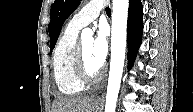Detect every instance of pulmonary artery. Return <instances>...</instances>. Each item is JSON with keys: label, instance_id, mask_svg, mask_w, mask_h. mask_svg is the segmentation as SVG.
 Wrapping results in <instances>:
<instances>
[{"label": "pulmonary artery", "instance_id": "pulmonary-artery-1", "mask_svg": "<svg viewBox=\"0 0 193 112\" xmlns=\"http://www.w3.org/2000/svg\"><path fill=\"white\" fill-rule=\"evenodd\" d=\"M103 0H93L87 3L69 22V25L75 29H82L94 21L105 7Z\"/></svg>", "mask_w": 193, "mask_h": 112}]
</instances>
